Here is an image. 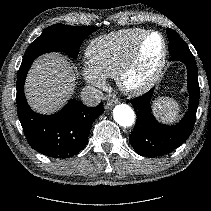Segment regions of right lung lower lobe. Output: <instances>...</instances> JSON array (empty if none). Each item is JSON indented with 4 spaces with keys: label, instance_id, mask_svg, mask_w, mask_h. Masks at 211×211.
<instances>
[{
    "label": "right lung lower lobe",
    "instance_id": "98d812e1",
    "mask_svg": "<svg viewBox=\"0 0 211 211\" xmlns=\"http://www.w3.org/2000/svg\"><path fill=\"white\" fill-rule=\"evenodd\" d=\"M33 60L22 62L17 76V111L29 145L39 153L53 158L77 155L87 144L93 121L103 113V104L87 107L71 99L53 115L31 110L24 95V83Z\"/></svg>",
    "mask_w": 211,
    "mask_h": 211
}]
</instances>
